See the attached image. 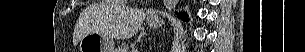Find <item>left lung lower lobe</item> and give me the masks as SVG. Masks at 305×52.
Instances as JSON below:
<instances>
[{
  "instance_id": "1",
  "label": "left lung lower lobe",
  "mask_w": 305,
  "mask_h": 52,
  "mask_svg": "<svg viewBox=\"0 0 305 52\" xmlns=\"http://www.w3.org/2000/svg\"><path fill=\"white\" fill-rule=\"evenodd\" d=\"M179 18L183 19V20H187V14L183 13V14H179Z\"/></svg>"
}]
</instances>
